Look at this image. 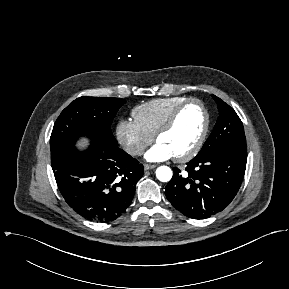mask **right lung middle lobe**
I'll list each match as a JSON object with an SVG mask.
<instances>
[{
  "label": "right lung middle lobe",
  "mask_w": 289,
  "mask_h": 289,
  "mask_svg": "<svg viewBox=\"0 0 289 289\" xmlns=\"http://www.w3.org/2000/svg\"><path fill=\"white\" fill-rule=\"evenodd\" d=\"M121 98L80 97L70 103L56 120L50 137L51 164L55 165L68 151L75 149L80 136L118 147L111 132L117 111L125 104Z\"/></svg>",
  "instance_id": "right-lung-middle-lobe-1"
}]
</instances>
